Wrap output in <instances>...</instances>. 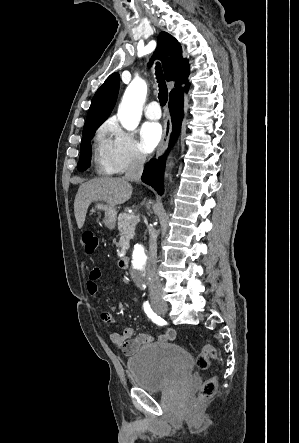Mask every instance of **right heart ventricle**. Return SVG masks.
Segmentation results:
<instances>
[{
    "label": "right heart ventricle",
    "instance_id": "obj_1",
    "mask_svg": "<svg viewBox=\"0 0 299 443\" xmlns=\"http://www.w3.org/2000/svg\"><path fill=\"white\" fill-rule=\"evenodd\" d=\"M94 164L97 172L103 175L115 173L108 152V141L103 137L96 140L94 147Z\"/></svg>",
    "mask_w": 299,
    "mask_h": 443
}]
</instances>
